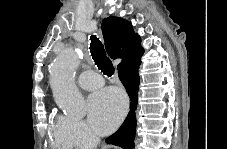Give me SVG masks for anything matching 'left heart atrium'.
Masks as SVG:
<instances>
[{
    "label": "left heart atrium",
    "instance_id": "left-heart-atrium-1",
    "mask_svg": "<svg viewBox=\"0 0 227 149\" xmlns=\"http://www.w3.org/2000/svg\"><path fill=\"white\" fill-rule=\"evenodd\" d=\"M89 122L99 134L111 132L123 118L127 101L124 94L116 88H105L90 96Z\"/></svg>",
    "mask_w": 227,
    "mask_h": 149
}]
</instances>
